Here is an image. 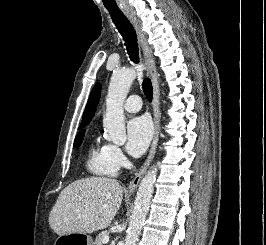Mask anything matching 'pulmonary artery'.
<instances>
[{
    "label": "pulmonary artery",
    "instance_id": "obj_1",
    "mask_svg": "<svg viewBox=\"0 0 266 245\" xmlns=\"http://www.w3.org/2000/svg\"><path fill=\"white\" fill-rule=\"evenodd\" d=\"M142 96H127L123 108L128 112H137L141 109Z\"/></svg>",
    "mask_w": 266,
    "mask_h": 245
}]
</instances>
